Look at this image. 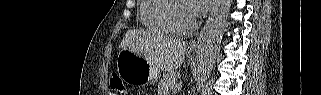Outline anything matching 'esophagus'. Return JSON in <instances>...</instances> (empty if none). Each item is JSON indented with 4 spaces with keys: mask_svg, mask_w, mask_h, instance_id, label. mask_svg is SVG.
<instances>
[{
    "mask_svg": "<svg viewBox=\"0 0 321 95\" xmlns=\"http://www.w3.org/2000/svg\"><path fill=\"white\" fill-rule=\"evenodd\" d=\"M209 20H210V18L207 20L206 24L204 25V27L200 31L199 35L190 42V47L191 48L201 47V44H202L206 29L208 27Z\"/></svg>",
    "mask_w": 321,
    "mask_h": 95,
    "instance_id": "1",
    "label": "esophagus"
}]
</instances>
